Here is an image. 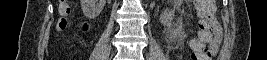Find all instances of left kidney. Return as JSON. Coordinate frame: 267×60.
<instances>
[{"instance_id": "1", "label": "left kidney", "mask_w": 267, "mask_h": 60, "mask_svg": "<svg viewBox=\"0 0 267 60\" xmlns=\"http://www.w3.org/2000/svg\"><path fill=\"white\" fill-rule=\"evenodd\" d=\"M173 15L174 14L172 11H170L169 9H165L160 15V22L163 25H168L171 22Z\"/></svg>"}]
</instances>
